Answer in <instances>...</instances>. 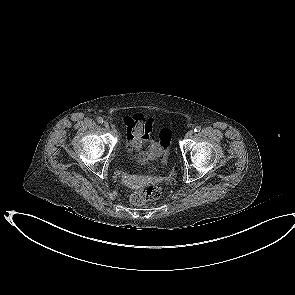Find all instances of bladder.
Segmentation results:
<instances>
[{"label":"bladder","instance_id":"obj_1","mask_svg":"<svg viewBox=\"0 0 295 295\" xmlns=\"http://www.w3.org/2000/svg\"><path fill=\"white\" fill-rule=\"evenodd\" d=\"M163 146L161 143L156 141H151L144 150L140 151L136 160L142 163H149L156 160L162 153Z\"/></svg>","mask_w":295,"mask_h":295}]
</instances>
